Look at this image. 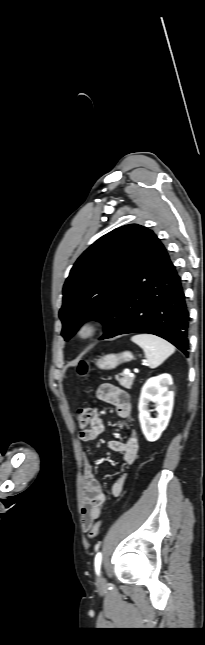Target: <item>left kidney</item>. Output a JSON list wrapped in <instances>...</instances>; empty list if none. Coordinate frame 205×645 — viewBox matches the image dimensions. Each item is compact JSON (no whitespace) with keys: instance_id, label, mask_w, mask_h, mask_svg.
I'll use <instances>...</instances> for the list:
<instances>
[{"instance_id":"5707ae66","label":"left kidney","mask_w":205,"mask_h":645,"mask_svg":"<svg viewBox=\"0 0 205 645\" xmlns=\"http://www.w3.org/2000/svg\"><path fill=\"white\" fill-rule=\"evenodd\" d=\"M173 384L169 374H161L147 380L141 390L139 399V421L145 438L154 442L166 429L172 414L174 392L169 390ZM155 403L156 418H152L149 403Z\"/></svg>"}]
</instances>
